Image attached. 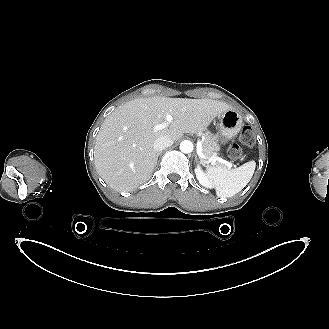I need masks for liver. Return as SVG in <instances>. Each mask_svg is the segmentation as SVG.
<instances>
[{
	"mask_svg": "<svg viewBox=\"0 0 329 329\" xmlns=\"http://www.w3.org/2000/svg\"><path fill=\"white\" fill-rule=\"evenodd\" d=\"M233 109L212 99L151 97L138 98L118 106L101 125L94 150L95 167L108 186L117 191H133L147 182L156 166L154 142L161 136L173 141L184 133L196 134L211 121ZM173 121L169 128L153 127Z\"/></svg>",
	"mask_w": 329,
	"mask_h": 329,
	"instance_id": "6515ba94",
	"label": "liver"
}]
</instances>
